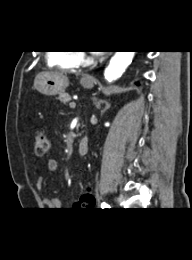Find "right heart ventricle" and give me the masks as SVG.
<instances>
[{
  "label": "right heart ventricle",
  "mask_w": 192,
  "mask_h": 260,
  "mask_svg": "<svg viewBox=\"0 0 192 260\" xmlns=\"http://www.w3.org/2000/svg\"><path fill=\"white\" fill-rule=\"evenodd\" d=\"M48 63L62 69H74L79 66L80 57L76 51H54L48 54Z\"/></svg>",
  "instance_id": "1"
}]
</instances>
